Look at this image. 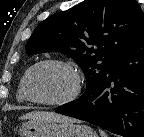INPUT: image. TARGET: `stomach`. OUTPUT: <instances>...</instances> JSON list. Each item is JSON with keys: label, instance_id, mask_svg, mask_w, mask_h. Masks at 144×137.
Instances as JSON below:
<instances>
[{"label": "stomach", "instance_id": "stomach-1", "mask_svg": "<svg viewBox=\"0 0 144 137\" xmlns=\"http://www.w3.org/2000/svg\"><path fill=\"white\" fill-rule=\"evenodd\" d=\"M19 134L21 137H97L91 127L72 121H28L20 127Z\"/></svg>", "mask_w": 144, "mask_h": 137}]
</instances>
